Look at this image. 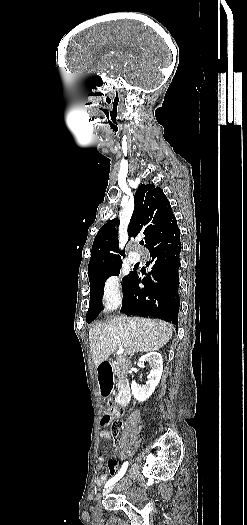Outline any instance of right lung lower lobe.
I'll use <instances>...</instances> for the list:
<instances>
[{
	"instance_id": "98d812e1",
	"label": "right lung lower lobe",
	"mask_w": 247,
	"mask_h": 525,
	"mask_svg": "<svg viewBox=\"0 0 247 525\" xmlns=\"http://www.w3.org/2000/svg\"><path fill=\"white\" fill-rule=\"evenodd\" d=\"M145 247L150 252L152 270L145 278L137 274L132 277L124 291L121 312L158 318L177 325L181 251L180 230L177 224L154 238ZM139 283H143L144 287L139 288Z\"/></svg>"
}]
</instances>
